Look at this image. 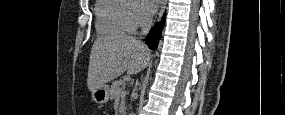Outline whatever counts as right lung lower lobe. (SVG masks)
Masks as SVG:
<instances>
[{"label": "right lung lower lobe", "mask_w": 285, "mask_h": 115, "mask_svg": "<svg viewBox=\"0 0 285 115\" xmlns=\"http://www.w3.org/2000/svg\"><path fill=\"white\" fill-rule=\"evenodd\" d=\"M164 22H165V15L162 19V21L155 25L154 28L151 29L150 33L148 34L146 38V43L149 46L150 49L154 50L156 49L158 42L161 38V32L164 27Z\"/></svg>", "instance_id": "98d812e1"}]
</instances>
